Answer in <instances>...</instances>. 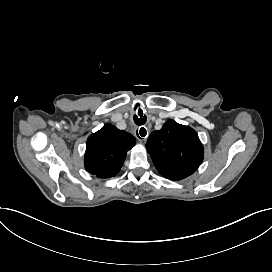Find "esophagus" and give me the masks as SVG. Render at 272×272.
<instances>
[{"instance_id":"34e87169","label":"esophagus","mask_w":272,"mask_h":272,"mask_svg":"<svg viewBox=\"0 0 272 272\" xmlns=\"http://www.w3.org/2000/svg\"><path fill=\"white\" fill-rule=\"evenodd\" d=\"M145 136H141L140 135V131H139V134H137V138L140 140V141H143L145 138Z\"/></svg>"}]
</instances>
